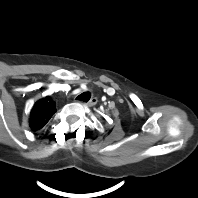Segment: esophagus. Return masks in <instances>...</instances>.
Returning a JSON list of instances; mask_svg holds the SVG:
<instances>
[{"instance_id": "1", "label": "esophagus", "mask_w": 198, "mask_h": 198, "mask_svg": "<svg viewBox=\"0 0 198 198\" xmlns=\"http://www.w3.org/2000/svg\"><path fill=\"white\" fill-rule=\"evenodd\" d=\"M98 102V99L96 97L92 98L89 102L86 103L87 106L92 107L96 105Z\"/></svg>"}]
</instances>
